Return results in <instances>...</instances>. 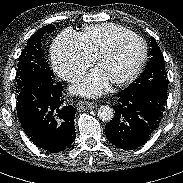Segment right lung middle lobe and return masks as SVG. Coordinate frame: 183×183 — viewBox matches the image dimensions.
I'll return each mask as SVG.
<instances>
[{
	"label": "right lung middle lobe",
	"instance_id": "dd1d6c3e",
	"mask_svg": "<svg viewBox=\"0 0 183 183\" xmlns=\"http://www.w3.org/2000/svg\"><path fill=\"white\" fill-rule=\"evenodd\" d=\"M53 30V25H46L28 40L27 46L19 57L15 79L16 93H19L27 85L53 80L52 70H50L41 49L44 34L51 33Z\"/></svg>",
	"mask_w": 183,
	"mask_h": 183
}]
</instances>
